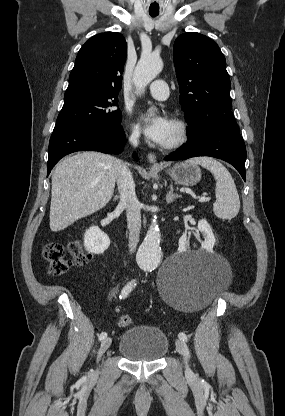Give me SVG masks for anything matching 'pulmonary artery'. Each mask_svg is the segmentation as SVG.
<instances>
[{
    "mask_svg": "<svg viewBox=\"0 0 285 416\" xmlns=\"http://www.w3.org/2000/svg\"><path fill=\"white\" fill-rule=\"evenodd\" d=\"M163 86H167V83L164 80L157 79L148 87L151 95L155 97L157 102H166L168 100L169 89Z\"/></svg>",
    "mask_w": 285,
    "mask_h": 416,
    "instance_id": "obj_1",
    "label": "pulmonary artery"
}]
</instances>
